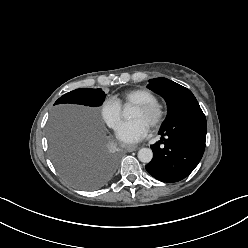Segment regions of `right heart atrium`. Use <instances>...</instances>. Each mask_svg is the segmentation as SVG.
<instances>
[{"mask_svg":"<svg viewBox=\"0 0 248 248\" xmlns=\"http://www.w3.org/2000/svg\"><path fill=\"white\" fill-rule=\"evenodd\" d=\"M99 113L104 123L111 129H116L121 121V106L112 98H106L99 106Z\"/></svg>","mask_w":248,"mask_h":248,"instance_id":"obj_1","label":"right heart atrium"}]
</instances>
